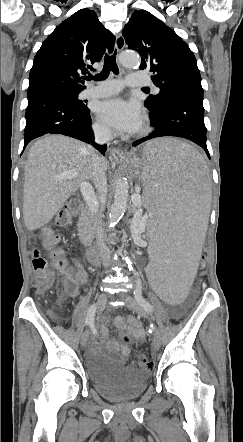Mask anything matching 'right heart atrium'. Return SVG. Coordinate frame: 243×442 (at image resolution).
<instances>
[{
    "label": "right heart atrium",
    "instance_id": "right-heart-atrium-1",
    "mask_svg": "<svg viewBox=\"0 0 243 442\" xmlns=\"http://www.w3.org/2000/svg\"><path fill=\"white\" fill-rule=\"evenodd\" d=\"M93 129L95 133L100 136L107 137L111 135L109 128L106 125H104L101 121L98 120L95 121L93 124Z\"/></svg>",
    "mask_w": 243,
    "mask_h": 442
}]
</instances>
